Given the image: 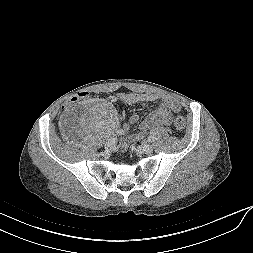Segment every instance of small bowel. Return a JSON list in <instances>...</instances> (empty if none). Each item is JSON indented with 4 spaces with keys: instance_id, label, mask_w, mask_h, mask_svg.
Segmentation results:
<instances>
[{
    "instance_id": "1",
    "label": "small bowel",
    "mask_w": 253,
    "mask_h": 253,
    "mask_svg": "<svg viewBox=\"0 0 253 253\" xmlns=\"http://www.w3.org/2000/svg\"><path fill=\"white\" fill-rule=\"evenodd\" d=\"M119 99L129 105L137 103H153L158 100V96L154 94H139V93H121ZM181 109L180 103L171 97H162L160 105L139 125V131L135 134L136 139H141L144 134L156 127L169 126L171 124L172 116L174 113H178ZM139 118L137 115H132L128 122L124 124L123 129L125 133L129 130L130 126L136 124ZM115 127V126H114ZM122 147H126V142H122Z\"/></svg>"
}]
</instances>
